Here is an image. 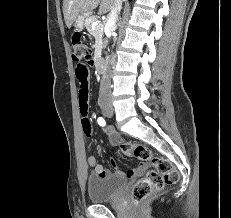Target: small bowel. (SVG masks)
Segmentation results:
<instances>
[{"instance_id":"c3829d8e","label":"small bowel","mask_w":231,"mask_h":218,"mask_svg":"<svg viewBox=\"0 0 231 218\" xmlns=\"http://www.w3.org/2000/svg\"><path fill=\"white\" fill-rule=\"evenodd\" d=\"M93 60H85V63H78L76 68V77L79 81V107L81 114L85 117L83 119V131L86 135H90L92 132V127L89 119L86 118L89 109V74L91 70L89 69L93 65ZM109 141L112 145H117L120 143V136L112 129H107ZM87 163L93 168L95 174L99 176H108L110 174L109 170L105 169L101 164L97 162V158L94 155H90L87 158ZM111 163L115 166V161L112 159ZM147 169V164L140 162L137 167L128 169L126 171L117 169L116 174L119 176H125L128 178H133L141 175Z\"/></svg>"}]
</instances>
